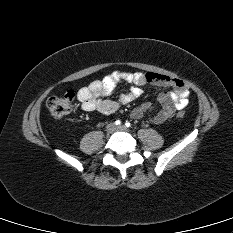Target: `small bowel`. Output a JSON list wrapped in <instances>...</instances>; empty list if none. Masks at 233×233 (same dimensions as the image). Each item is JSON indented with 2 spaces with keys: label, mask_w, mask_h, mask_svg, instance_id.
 <instances>
[{
  "label": "small bowel",
  "mask_w": 233,
  "mask_h": 233,
  "mask_svg": "<svg viewBox=\"0 0 233 233\" xmlns=\"http://www.w3.org/2000/svg\"><path fill=\"white\" fill-rule=\"evenodd\" d=\"M119 82L130 84L129 92L121 94L117 100L107 99L106 97L113 93ZM146 84L171 87L170 91L159 95L158 101L161 108L150 117L152 123L161 124L173 117L176 111H181L188 105L189 88L185 82L154 72L115 71L101 80L92 81L88 86L82 87L78 90L76 97L84 111H97L103 115H111L119 111L123 105L139 98L143 93L142 87ZM152 110V104L145 102L132 110L131 117L140 119Z\"/></svg>",
  "instance_id": "c3829d8e"
}]
</instances>
